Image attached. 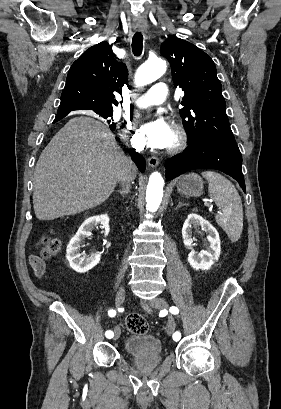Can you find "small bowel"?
Wrapping results in <instances>:
<instances>
[{
	"label": "small bowel",
	"instance_id": "obj_1",
	"mask_svg": "<svg viewBox=\"0 0 281 409\" xmlns=\"http://www.w3.org/2000/svg\"><path fill=\"white\" fill-rule=\"evenodd\" d=\"M30 264L33 268V272L37 277H41L44 272H45V263L44 261L37 257V256H31L30 257Z\"/></svg>",
	"mask_w": 281,
	"mask_h": 409
}]
</instances>
